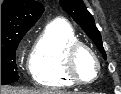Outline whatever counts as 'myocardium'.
<instances>
[{"instance_id": "myocardium-1", "label": "myocardium", "mask_w": 121, "mask_h": 94, "mask_svg": "<svg viewBox=\"0 0 121 94\" xmlns=\"http://www.w3.org/2000/svg\"><path fill=\"white\" fill-rule=\"evenodd\" d=\"M83 50L88 52L93 57V59L96 63V67H97L96 76L90 80L82 79L79 76V74L77 72V68H76V58H77L78 54ZM65 70H66L68 77L71 79V81L73 83L79 84V85H85V84L93 83L99 78V76L101 74V70H102V64H101V61H100L99 57L97 56V54L90 46H88L87 44H85L81 41H77V42L73 43L72 45H70L66 51Z\"/></svg>"}]
</instances>
